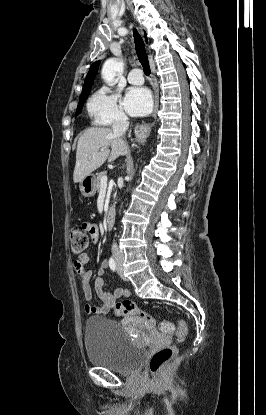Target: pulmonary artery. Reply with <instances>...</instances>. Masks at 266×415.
<instances>
[{"label":"pulmonary artery","instance_id":"obj_1","mask_svg":"<svg viewBox=\"0 0 266 415\" xmlns=\"http://www.w3.org/2000/svg\"><path fill=\"white\" fill-rule=\"evenodd\" d=\"M128 81L133 85H141L144 82L143 73L139 68H134L128 73Z\"/></svg>","mask_w":266,"mask_h":415}]
</instances>
